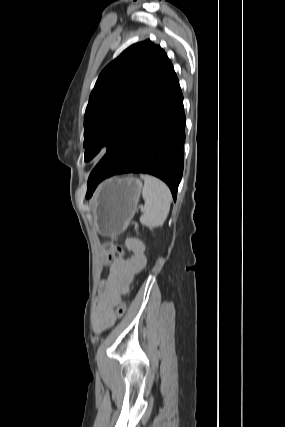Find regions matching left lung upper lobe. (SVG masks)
<instances>
[{"label": "left lung upper lobe", "mask_w": 285, "mask_h": 427, "mask_svg": "<svg viewBox=\"0 0 285 427\" xmlns=\"http://www.w3.org/2000/svg\"><path fill=\"white\" fill-rule=\"evenodd\" d=\"M171 66L150 40L123 51L100 73L84 116L85 161L110 151L146 107Z\"/></svg>", "instance_id": "left-lung-upper-lobe-1"}]
</instances>
